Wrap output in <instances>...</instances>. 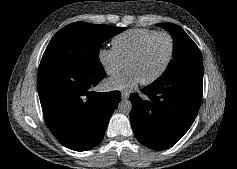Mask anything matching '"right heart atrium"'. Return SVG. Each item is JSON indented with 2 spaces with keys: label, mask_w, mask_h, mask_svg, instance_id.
I'll list each match as a JSON object with an SVG mask.
<instances>
[{
  "label": "right heart atrium",
  "mask_w": 237,
  "mask_h": 169,
  "mask_svg": "<svg viewBox=\"0 0 237 169\" xmlns=\"http://www.w3.org/2000/svg\"><path fill=\"white\" fill-rule=\"evenodd\" d=\"M98 61L108 75H116L125 67V62L113 48H100Z\"/></svg>",
  "instance_id": "1"
}]
</instances>
